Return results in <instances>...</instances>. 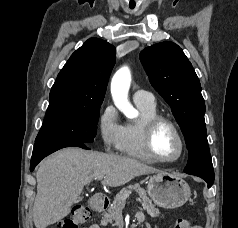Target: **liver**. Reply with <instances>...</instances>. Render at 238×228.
Returning <instances> with one entry per match:
<instances>
[{"instance_id":"1","label":"liver","mask_w":238,"mask_h":228,"mask_svg":"<svg viewBox=\"0 0 238 228\" xmlns=\"http://www.w3.org/2000/svg\"><path fill=\"white\" fill-rule=\"evenodd\" d=\"M160 172L135 159L65 148L43 160L37 170V195L33 206L36 228H46L66 217L83 187L103 177L110 187L125 185L135 177Z\"/></svg>"}]
</instances>
